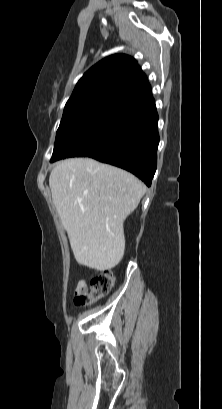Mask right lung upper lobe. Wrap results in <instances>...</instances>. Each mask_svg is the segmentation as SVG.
<instances>
[{
    "label": "right lung upper lobe",
    "mask_w": 222,
    "mask_h": 409,
    "mask_svg": "<svg viewBox=\"0 0 222 409\" xmlns=\"http://www.w3.org/2000/svg\"><path fill=\"white\" fill-rule=\"evenodd\" d=\"M152 99L150 84L137 62L128 55L116 54L83 75L64 110L100 104L128 108Z\"/></svg>",
    "instance_id": "obj_1"
}]
</instances>
